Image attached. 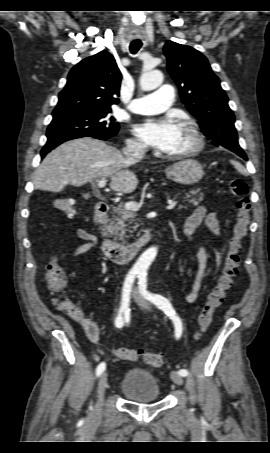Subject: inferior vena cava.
Masks as SVG:
<instances>
[{
    "instance_id": "1",
    "label": "inferior vena cava",
    "mask_w": 270,
    "mask_h": 453,
    "mask_svg": "<svg viewBox=\"0 0 270 453\" xmlns=\"http://www.w3.org/2000/svg\"><path fill=\"white\" fill-rule=\"evenodd\" d=\"M122 151L125 154L126 159L133 163L138 162L145 154V151L141 146L128 145L123 148Z\"/></svg>"
}]
</instances>
